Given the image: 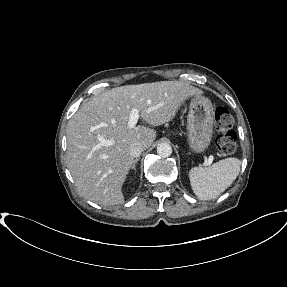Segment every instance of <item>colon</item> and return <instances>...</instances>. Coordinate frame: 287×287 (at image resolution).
Listing matches in <instances>:
<instances>
[{
  "label": "colon",
  "mask_w": 287,
  "mask_h": 287,
  "mask_svg": "<svg viewBox=\"0 0 287 287\" xmlns=\"http://www.w3.org/2000/svg\"><path fill=\"white\" fill-rule=\"evenodd\" d=\"M233 117L230 112L220 106L215 110V124L218 130L216 146L223 155H231L236 150L237 136L233 130Z\"/></svg>",
  "instance_id": "1"
}]
</instances>
